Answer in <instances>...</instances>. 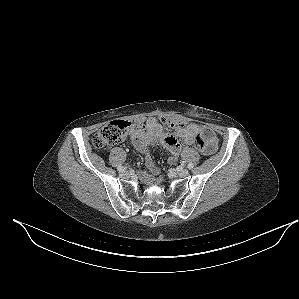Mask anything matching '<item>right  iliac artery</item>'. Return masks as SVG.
I'll return each mask as SVG.
<instances>
[{"mask_svg": "<svg viewBox=\"0 0 299 299\" xmlns=\"http://www.w3.org/2000/svg\"><path fill=\"white\" fill-rule=\"evenodd\" d=\"M117 170H118L119 172H124V171H125V167H123V166H118Z\"/></svg>", "mask_w": 299, "mask_h": 299, "instance_id": "1", "label": "right iliac artery"}]
</instances>
